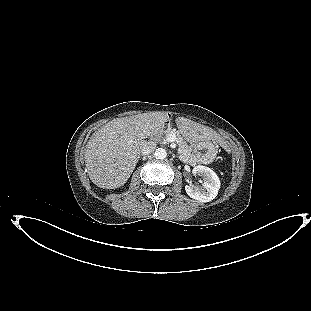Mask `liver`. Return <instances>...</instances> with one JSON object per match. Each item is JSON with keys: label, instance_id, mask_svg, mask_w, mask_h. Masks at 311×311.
<instances>
[{"label": "liver", "instance_id": "6515ba94", "mask_svg": "<svg viewBox=\"0 0 311 311\" xmlns=\"http://www.w3.org/2000/svg\"><path fill=\"white\" fill-rule=\"evenodd\" d=\"M169 119L167 112H148L117 118L95 132L87 143L85 163L91 181L100 188L123 186L138 162L144 139L153 137ZM179 130L208 139L210 130L194 121L178 117Z\"/></svg>", "mask_w": 311, "mask_h": 311}]
</instances>
